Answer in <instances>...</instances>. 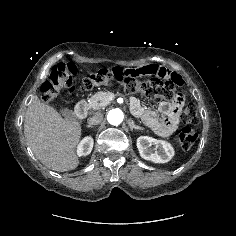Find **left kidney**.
<instances>
[{
  "label": "left kidney",
  "mask_w": 236,
  "mask_h": 236,
  "mask_svg": "<svg viewBox=\"0 0 236 236\" xmlns=\"http://www.w3.org/2000/svg\"><path fill=\"white\" fill-rule=\"evenodd\" d=\"M137 148L142 158L154 163H166L174 156L170 143L149 136H140L137 139Z\"/></svg>",
  "instance_id": "obj_1"
}]
</instances>
